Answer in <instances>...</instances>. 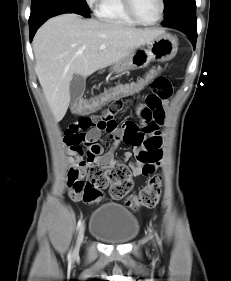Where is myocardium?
<instances>
[{
	"label": "myocardium",
	"instance_id": "f54148a6",
	"mask_svg": "<svg viewBox=\"0 0 231 281\" xmlns=\"http://www.w3.org/2000/svg\"><path fill=\"white\" fill-rule=\"evenodd\" d=\"M123 2V6L127 12V14L137 23L142 24V25H148V26H152V25H156L159 22L162 21V19L164 18V14H165V0H160V14L158 16L157 19L153 20V21H146L144 19H142L136 12L135 8H134V4H133V0H122Z\"/></svg>",
	"mask_w": 231,
	"mask_h": 281
}]
</instances>
